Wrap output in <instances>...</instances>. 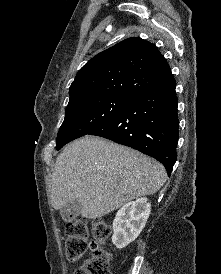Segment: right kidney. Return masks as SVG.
<instances>
[{
  "label": "right kidney",
  "mask_w": 221,
  "mask_h": 274,
  "mask_svg": "<svg viewBox=\"0 0 221 274\" xmlns=\"http://www.w3.org/2000/svg\"><path fill=\"white\" fill-rule=\"evenodd\" d=\"M150 211L151 205L145 197L122 206L113 221L112 242L116 248L123 249L138 237Z\"/></svg>",
  "instance_id": "ca27d5eb"
}]
</instances>
